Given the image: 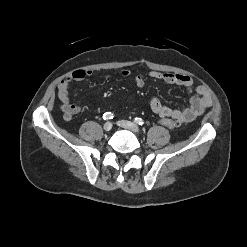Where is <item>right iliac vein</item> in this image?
Returning <instances> with one entry per match:
<instances>
[{
    "label": "right iliac vein",
    "instance_id": "1",
    "mask_svg": "<svg viewBox=\"0 0 247 247\" xmlns=\"http://www.w3.org/2000/svg\"><path fill=\"white\" fill-rule=\"evenodd\" d=\"M103 129L108 132L112 129V123L111 122H106L104 125H103Z\"/></svg>",
    "mask_w": 247,
    "mask_h": 247
}]
</instances>
